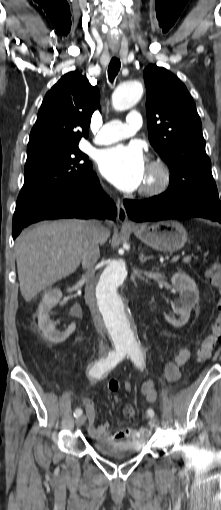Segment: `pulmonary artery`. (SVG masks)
<instances>
[{"label": "pulmonary artery", "mask_w": 221, "mask_h": 510, "mask_svg": "<svg viewBox=\"0 0 221 510\" xmlns=\"http://www.w3.org/2000/svg\"><path fill=\"white\" fill-rule=\"evenodd\" d=\"M141 127V116L138 112L132 111L125 123L110 121L105 123L98 131L94 141L99 145H109L120 140L129 138Z\"/></svg>", "instance_id": "pulmonary-artery-1"}]
</instances>
